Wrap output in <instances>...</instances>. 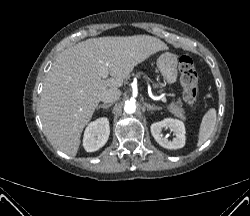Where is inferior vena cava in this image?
<instances>
[{"mask_svg":"<svg viewBox=\"0 0 250 216\" xmlns=\"http://www.w3.org/2000/svg\"><path fill=\"white\" fill-rule=\"evenodd\" d=\"M121 96V91L118 88H109L101 95V101L105 103H113Z\"/></svg>","mask_w":250,"mask_h":216,"instance_id":"1","label":"inferior vena cava"}]
</instances>
